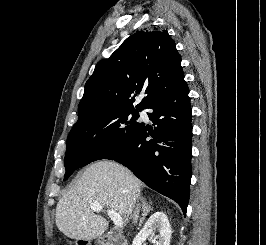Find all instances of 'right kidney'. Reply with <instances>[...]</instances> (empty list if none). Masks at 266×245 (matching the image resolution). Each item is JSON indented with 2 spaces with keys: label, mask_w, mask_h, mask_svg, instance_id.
Masks as SVG:
<instances>
[{
  "label": "right kidney",
  "mask_w": 266,
  "mask_h": 245,
  "mask_svg": "<svg viewBox=\"0 0 266 245\" xmlns=\"http://www.w3.org/2000/svg\"><path fill=\"white\" fill-rule=\"evenodd\" d=\"M156 229L159 235H155ZM171 233L168 217L163 211H160V213H154L149 217L143 229L133 239L132 245H143L148 237H156L158 239L157 245H170Z\"/></svg>",
  "instance_id": "right-kidney-1"
}]
</instances>
